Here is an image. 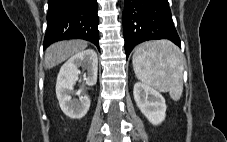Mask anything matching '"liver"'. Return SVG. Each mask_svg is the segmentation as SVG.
I'll return each instance as SVG.
<instances>
[{"label":"liver","instance_id":"liver-1","mask_svg":"<svg viewBox=\"0 0 227 142\" xmlns=\"http://www.w3.org/2000/svg\"><path fill=\"white\" fill-rule=\"evenodd\" d=\"M88 46L84 40L61 41L50 45L45 52V68L50 69L64 62Z\"/></svg>","mask_w":227,"mask_h":142}]
</instances>
